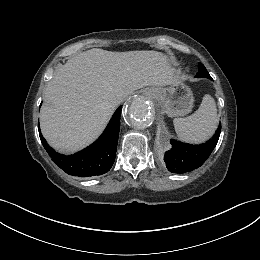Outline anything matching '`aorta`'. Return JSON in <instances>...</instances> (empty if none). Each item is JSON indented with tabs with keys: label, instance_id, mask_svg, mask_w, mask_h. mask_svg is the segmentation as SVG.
Wrapping results in <instances>:
<instances>
[{
	"label": "aorta",
	"instance_id": "aorta-1",
	"mask_svg": "<svg viewBox=\"0 0 260 260\" xmlns=\"http://www.w3.org/2000/svg\"><path fill=\"white\" fill-rule=\"evenodd\" d=\"M152 108L144 97H136L132 100L126 113V120L135 129L143 130L152 121Z\"/></svg>",
	"mask_w": 260,
	"mask_h": 260
}]
</instances>
